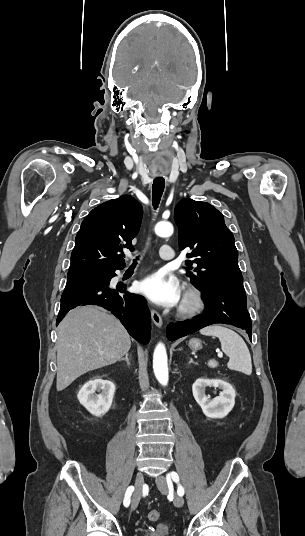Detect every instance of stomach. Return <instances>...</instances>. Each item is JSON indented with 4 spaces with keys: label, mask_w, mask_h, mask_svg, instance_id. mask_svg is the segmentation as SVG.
<instances>
[{
    "label": "stomach",
    "mask_w": 305,
    "mask_h": 536,
    "mask_svg": "<svg viewBox=\"0 0 305 536\" xmlns=\"http://www.w3.org/2000/svg\"><path fill=\"white\" fill-rule=\"evenodd\" d=\"M189 348L193 350V352H197V350H201L202 344L201 340H198V338H192L189 342Z\"/></svg>",
    "instance_id": "1"
}]
</instances>
